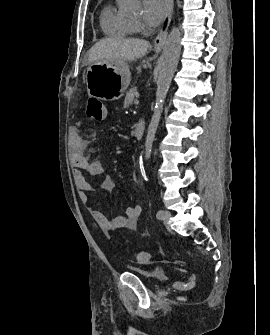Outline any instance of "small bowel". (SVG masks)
<instances>
[{
  "label": "small bowel",
  "mask_w": 270,
  "mask_h": 335,
  "mask_svg": "<svg viewBox=\"0 0 270 335\" xmlns=\"http://www.w3.org/2000/svg\"><path fill=\"white\" fill-rule=\"evenodd\" d=\"M85 149L86 140L77 128H72L69 131V159L73 167V179L81 202L88 204V193L93 192L94 187L86 179L84 172L89 175H99L104 172V168L100 161L90 160L85 154ZM103 188L108 192L113 191L115 189L113 179L106 177L103 181ZM142 212L143 209L140 205H134L128 207L123 215L108 219L101 211L90 209L93 219L105 230H135Z\"/></svg>",
  "instance_id": "small-bowel-1"
}]
</instances>
